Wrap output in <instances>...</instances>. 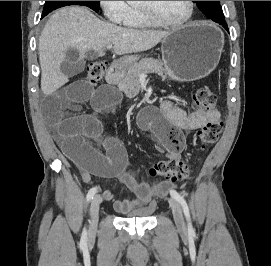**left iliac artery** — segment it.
Segmentation results:
<instances>
[{
	"instance_id": "1",
	"label": "left iliac artery",
	"mask_w": 271,
	"mask_h": 266,
	"mask_svg": "<svg viewBox=\"0 0 271 266\" xmlns=\"http://www.w3.org/2000/svg\"><path fill=\"white\" fill-rule=\"evenodd\" d=\"M170 195L172 196V198L177 200L180 203V205L182 206L184 214L188 220V232H189V234H194V229H193V226L190 221L189 208H188V205H187L185 199L175 190H170Z\"/></svg>"
}]
</instances>
